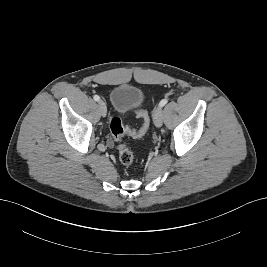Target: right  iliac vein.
I'll use <instances>...</instances> for the list:
<instances>
[{
	"label": "right iliac vein",
	"mask_w": 267,
	"mask_h": 267,
	"mask_svg": "<svg viewBox=\"0 0 267 267\" xmlns=\"http://www.w3.org/2000/svg\"><path fill=\"white\" fill-rule=\"evenodd\" d=\"M98 107H99L100 114L103 117H105L106 113H107V107H106V104L104 103V101L100 100L98 103Z\"/></svg>",
	"instance_id": "obj_1"
}]
</instances>
